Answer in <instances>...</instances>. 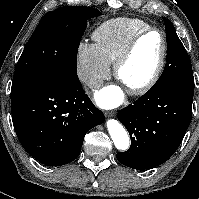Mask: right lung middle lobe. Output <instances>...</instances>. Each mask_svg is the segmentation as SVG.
I'll use <instances>...</instances> for the list:
<instances>
[{"mask_svg": "<svg viewBox=\"0 0 199 199\" xmlns=\"http://www.w3.org/2000/svg\"><path fill=\"white\" fill-rule=\"evenodd\" d=\"M100 15L97 9L86 6L60 7L45 14L18 60L11 99L48 79L79 84L76 67L80 40L87 20Z\"/></svg>", "mask_w": 199, "mask_h": 199, "instance_id": "1", "label": "right lung middle lobe"}]
</instances>
